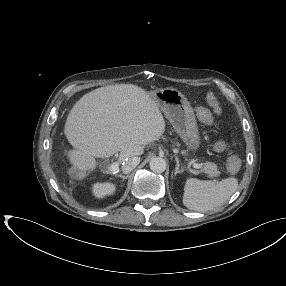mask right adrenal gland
<instances>
[{
	"instance_id": "1",
	"label": "right adrenal gland",
	"mask_w": 286,
	"mask_h": 286,
	"mask_svg": "<svg viewBox=\"0 0 286 286\" xmlns=\"http://www.w3.org/2000/svg\"><path fill=\"white\" fill-rule=\"evenodd\" d=\"M118 177L122 178L123 181L128 178V175H118Z\"/></svg>"
}]
</instances>
